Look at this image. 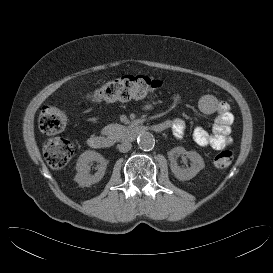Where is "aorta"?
Returning a JSON list of instances; mask_svg holds the SVG:
<instances>
[{
    "label": "aorta",
    "instance_id": "aorta-1",
    "mask_svg": "<svg viewBox=\"0 0 273 273\" xmlns=\"http://www.w3.org/2000/svg\"><path fill=\"white\" fill-rule=\"evenodd\" d=\"M138 146L144 151H150L154 148L155 139L150 133H143L138 137Z\"/></svg>",
    "mask_w": 273,
    "mask_h": 273
}]
</instances>
